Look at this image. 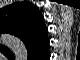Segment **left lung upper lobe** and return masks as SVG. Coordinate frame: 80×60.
<instances>
[{
    "instance_id": "5c2ea615",
    "label": "left lung upper lobe",
    "mask_w": 80,
    "mask_h": 60,
    "mask_svg": "<svg viewBox=\"0 0 80 60\" xmlns=\"http://www.w3.org/2000/svg\"><path fill=\"white\" fill-rule=\"evenodd\" d=\"M0 32L18 36L25 43L29 57L35 58L36 46L47 29L39 10L29 2H21L0 10Z\"/></svg>"
}]
</instances>
